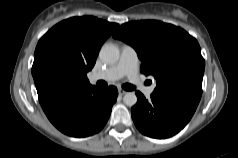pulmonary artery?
<instances>
[{"label": "pulmonary artery", "instance_id": "e3ab8cb5", "mask_svg": "<svg viewBox=\"0 0 238 158\" xmlns=\"http://www.w3.org/2000/svg\"><path fill=\"white\" fill-rule=\"evenodd\" d=\"M138 67L139 60L135 49L129 45H123L118 62L102 72L91 74L89 79L91 82H96L98 80L111 82L118 80L123 76H127L131 82L140 86L146 96H150L153 93L155 86H143L141 84L138 76Z\"/></svg>", "mask_w": 238, "mask_h": 158}]
</instances>
